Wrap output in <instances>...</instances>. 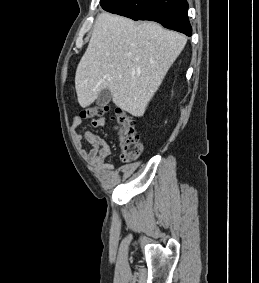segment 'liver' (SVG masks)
Masks as SVG:
<instances>
[{"label": "liver", "instance_id": "1", "mask_svg": "<svg viewBox=\"0 0 259 283\" xmlns=\"http://www.w3.org/2000/svg\"><path fill=\"white\" fill-rule=\"evenodd\" d=\"M186 41L155 22L101 13L76 70L80 106L88 107L108 89L117 107L143 116Z\"/></svg>", "mask_w": 259, "mask_h": 283}]
</instances>
